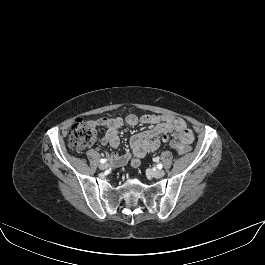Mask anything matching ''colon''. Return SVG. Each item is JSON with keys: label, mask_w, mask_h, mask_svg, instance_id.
<instances>
[{"label": "colon", "mask_w": 265, "mask_h": 265, "mask_svg": "<svg viewBox=\"0 0 265 265\" xmlns=\"http://www.w3.org/2000/svg\"><path fill=\"white\" fill-rule=\"evenodd\" d=\"M68 134V144L75 152H80L91 146L97 139L96 127L79 118L74 120L71 124ZM171 146L179 154H187L191 150V147L188 144L179 140L172 141Z\"/></svg>", "instance_id": "colon-1"}]
</instances>
